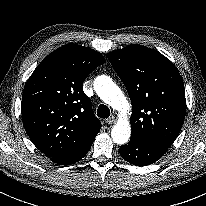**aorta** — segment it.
<instances>
[{"label": "aorta", "mask_w": 206, "mask_h": 206, "mask_svg": "<svg viewBox=\"0 0 206 206\" xmlns=\"http://www.w3.org/2000/svg\"><path fill=\"white\" fill-rule=\"evenodd\" d=\"M94 89L101 100L121 112V117L112 128L111 137L115 143L125 144L131 135L130 122L124 117L130 108L128 100L109 76H98L94 82Z\"/></svg>", "instance_id": "aorta-1"}]
</instances>
